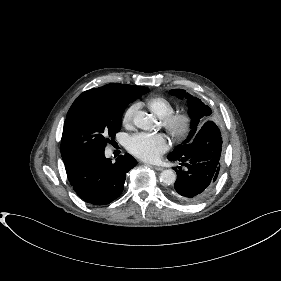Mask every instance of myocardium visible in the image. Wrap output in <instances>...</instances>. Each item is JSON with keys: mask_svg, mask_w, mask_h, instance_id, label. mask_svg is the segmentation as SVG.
I'll return each instance as SVG.
<instances>
[{"mask_svg": "<svg viewBox=\"0 0 281 281\" xmlns=\"http://www.w3.org/2000/svg\"><path fill=\"white\" fill-rule=\"evenodd\" d=\"M161 120L163 127L175 140L185 138L192 129L193 120L187 112H172Z\"/></svg>", "mask_w": 281, "mask_h": 281, "instance_id": "obj_1", "label": "myocardium"}]
</instances>
